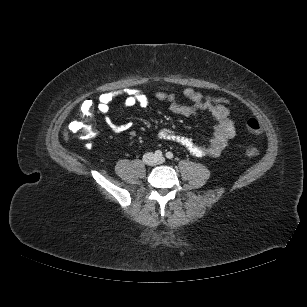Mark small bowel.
I'll return each mask as SVG.
<instances>
[{
	"label": "small bowel",
	"mask_w": 307,
	"mask_h": 307,
	"mask_svg": "<svg viewBox=\"0 0 307 307\" xmlns=\"http://www.w3.org/2000/svg\"><path fill=\"white\" fill-rule=\"evenodd\" d=\"M183 95L191 101L190 105L182 104L176 100V95L171 91L159 90L155 93L156 99L169 105L172 113L182 116H192L200 111L209 113L215 121V130L212 137L202 143H198L190 137L176 133L170 128H162L158 131L161 140L177 143L184 147L190 154L196 157H217L228 142L235 136V124L230 117V111L225 105L213 104L206 100L198 91L187 88ZM115 98L111 92L103 93L98 98L97 109L103 115L104 122L114 132L120 133L130 130L128 123L116 125L108 116L110 105ZM150 99L141 90H131L126 94L123 101L125 108L140 106L143 108L150 106Z\"/></svg>",
	"instance_id": "obj_1"
}]
</instances>
